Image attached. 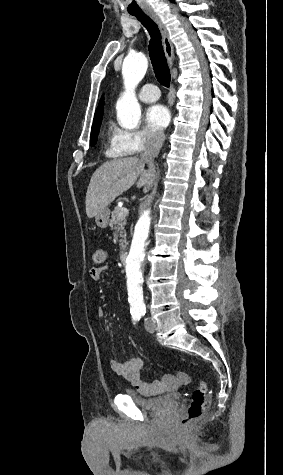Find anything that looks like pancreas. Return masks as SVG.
<instances>
[{
    "label": "pancreas",
    "instance_id": "obj_1",
    "mask_svg": "<svg viewBox=\"0 0 283 475\" xmlns=\"http://www.w3.org/2000/svg\"><path fill=\"white\" fill-rule=\"evenodd\" d=\"M126 216L127 214H124L123 208H115L114 212H112V220H110V226H113V224H117V226H115V230L119 232V238H122L119 239V245H121L120 251H124L128 243L126 239V232L124 230V226H126V222H124Z\"/></svg>",
    "mask_w": 283,
    "mask_h": 475
}]
</instances>
